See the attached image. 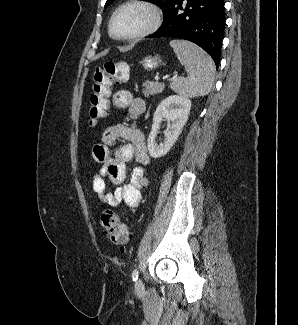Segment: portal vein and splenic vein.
Segmentation results:
<instances>
[{"mask_svg":"<svg viewBox=\"0 0 298 325\" xmlns=\"http://www.w3.org/2000/svg\"><path fill=\"white\" fill-rule=\"evenodd\" d=\"M155 80H159V76H155Z\"/></svg>","mask_w":298,"mask_h":325,"instance_id":"portal-vein-and-splenic-vein-1","label":"portal vein and splenic vein"}]
</instances>
